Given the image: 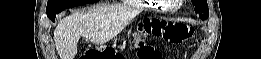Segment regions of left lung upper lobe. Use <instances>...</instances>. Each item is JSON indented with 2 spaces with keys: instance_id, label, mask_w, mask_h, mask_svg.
<instances>
[{
  "instance_id": "1",
  "label": "left lung upper lobe",
  "mask_w": 261,
  "mask_h": 59,
  "mask_svg": "<svg viewBox=\"0 0 261 59\" xmlns=\"http://www.w3.org/2000/svg\"><path fill=\"white\" fill-rule=\"evenodd\" d=\"M192 3L195 5V12L200 13V18L202 20L207 19L209 16L207 1L206 0H192Z\"/></svg>"
}]
</instances>
